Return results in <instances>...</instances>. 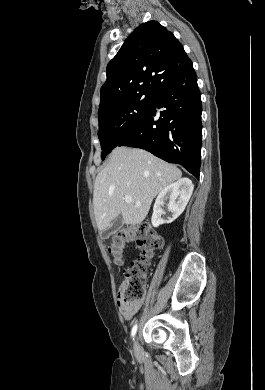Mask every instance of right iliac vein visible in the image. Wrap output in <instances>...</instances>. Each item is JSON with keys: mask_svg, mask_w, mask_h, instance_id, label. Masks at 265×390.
Segmentation results:
<instances>
[{"mask_svg": "<svg viewBox=\"0 0 265 390\" xmlns=\"http://www.w3.org/2000/svg\"><path fill=\"white\" fill-rule=\"evenodd\" d=\"M134 354L136 357H140L142 354V349L137 339L134 341Z\"/></svg>", "mask_w": 265, "mask_h": 390, "instance_id": "1", "label": "right iliac vein"}]
</instances>
